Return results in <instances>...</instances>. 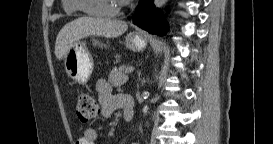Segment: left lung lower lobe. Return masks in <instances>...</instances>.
<instances>
[{"mask_svg": "<svg viewBox=\"0 0 273 144\" xmlns=\"http://www.w3.org/2000/svg\"><path fill=\"white\" fill-rule=\"evenodd\" d=\"M153 1L141 0V6L133 17V22L149 33L165 35L168 23L163 12L156 9Z\"/></svg>", "mask_w": 273, "mask_h": 144, "instance_id": "obj_1", "label": "left lung lower lobe"}]
</instances>
